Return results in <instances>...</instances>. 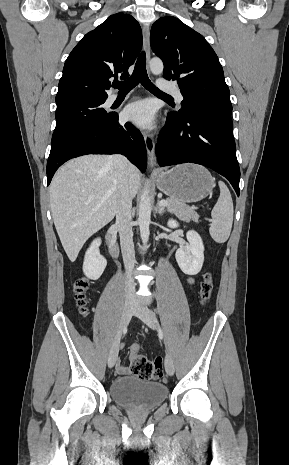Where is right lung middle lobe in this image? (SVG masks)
Masks as SVG:
<instances>
[{"label":"right lung middle lobe","instance_id":"dd1d6c3e","mask_svg":"<svg viewBox=\"0 0 289 465\" xmlns=\"http://www.w3.org/2000/svg\"><path fill=\"white\" fill-rule=\"evenodd\" d=\"M104 102L105 100H76L57 104L56 127L51 143L77 129L107 121L112 114L102 108Z\"/></svg>","mask_w":289,"mask_h":465}]
</instances>
